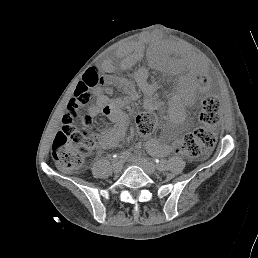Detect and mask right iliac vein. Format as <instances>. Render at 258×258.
<instances>
[{"mask_svg": "<svg viewBox=\"0 0 258 258\" xmlns=\"http://www.w3.org/2000/svg\"><path fill=\"white\" fill-rule=\"evenodd\" d=\"M123 169V161L115 160L113 163V170L114 172L118 173Z\"/></svg>", "mask_w": 258, "mask_h": 258, "instance_id": "1", "label": "right iliac vein"}]
</instances>
